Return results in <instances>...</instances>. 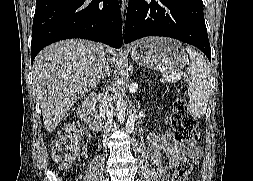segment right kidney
<instances>
[{
    "mask_svg": "<svg viewBox=\"0 0 253 181\" xmlns=\"http://www.w3.org/2000/svg\"><path fill=\"white\" fill-rule=\"evenodd\" d=\"M81 132H86V134H88V131H87V128H85L84 126L83 127H81ZM88 137H89V139L92 137L90 134H88Z\"/></svg>",
    "mask_w": 253,
    "mask_h": 181,
    "instance_id": "obj_1",
    "label": "right kidney"
}]
</instances>
